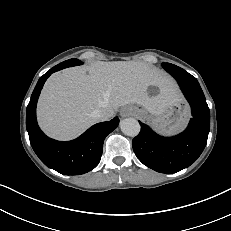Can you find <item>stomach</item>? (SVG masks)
I'll list each match as a JSON object with an SVG mask.
<instances>
[{"label":"stomach","mask_w":231,"mask_h":231,"mask_svg":"<svg viewBox=\"0 0 231 231\" xmlns=\"http://www.w3.org/2000/svg\"><path fill=\"white\" fill-rule=\"evenodd\" d=\"M133 113L150 121L151 125L160 133L174 134L181 131L186 125L190 115L189 108L183 99L171 104L165 111L157 116L148 112L139 105H131Z\"/></svg>","instance_id":"1"}]
</instances>
